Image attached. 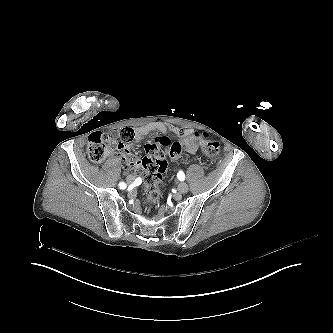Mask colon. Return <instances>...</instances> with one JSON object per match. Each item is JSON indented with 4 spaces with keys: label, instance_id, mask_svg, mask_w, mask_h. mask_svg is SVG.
<instances>
[{
    "label": "colon",
    "instance_id": "obj_1",
    "mask_svg": "<svg viewBox=\"0 0 333 333\" xmlns=\"http://www.w3.org/2000/svg\"><path fill=\"white\" fill-rule=\"evenodd\" d=\"M112 135L94 133L90 136L87 152L94 162H101L115 150L116 138ZM122 143H130L135 138V132L126 128L119 133ZM146 146V155L140 161L143 168L144 196L149 204H156L161 197L162 174L167 167L166 155L172 154L174 158L182 156V148L179 142H171L167 137H160L158 141H149ZM203 152L210 158H217L221 153V147L216 139H211L203 146Z\"/></svg>",
    "mask_w": 333,
    "mask_h": 333
}]
</instances>
